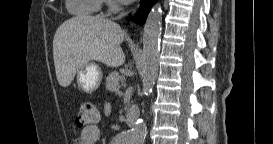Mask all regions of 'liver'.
<instances>
[{"instance_id": "obj_1", "label": "liver", "mask_w": 273, "mask_h": 144, "mask_svg": "<svg viewBox=\"0 0 273 144\" xmlns=\"http://www.w3.org/2000/svg\"><path fill=\"white\" fill-rule=\"evenodd\" d=\"M124 40L121 27L108 19L78 15L63 22L53 39V59L59 85L68 87L77 71L90 61L108 67L125 62L120 46Z\"/></svg>"}]
</instances>
